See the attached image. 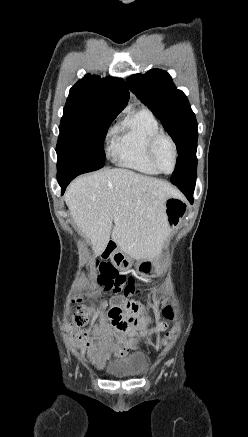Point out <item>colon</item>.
I'll list each match as a JSON object with an SVG mask.
<instances>
[{
    "instance_id": "colon-1",
    "label": "colon",
    "mask_w": 248,
    "mask_h": 437,
    "mask_svg": "<svg viewBox=\"0 0 248 437\" xmlns=\"http://www.w3.org/2000/svg\"><path fill=\"white\" fill-rule=\"evenodd\" d=\"M98 270L100 273V275L98 276V281L106 290H112L115 293H123L127 295L138 293L135 279L119 272L110 263L101 262L98 266ZM75 301L80 303L82 301V296H75ZM165 315L167 318H171L173 316L171 310L169 309L165 311ZM85 320V311H80L79 314L75 317V321L78 325L84 324ZM169 338L170 335L167 334L166 340Z\"/></svg>"
}]
</instances>
